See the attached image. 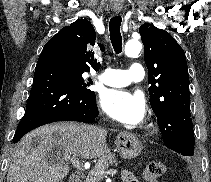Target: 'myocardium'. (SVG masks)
<instances>
[{
  "mask_svg": "<svg viewBox=\"0 0 211 182\" xmlns=\"http://www.w3.org/2000/svg\"><path fill=\"white\" fill-rule=\"evenodd\" d=\"M151 126V123H148L147 125H146V128H149Z\"/></svg>",
  "mask_w": 211,
  "mask_h": 182,
  "instance_id": "obj_1",
  "label": "myocardium"
}]
</instances>
